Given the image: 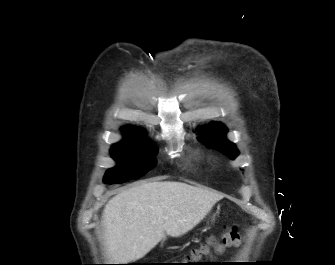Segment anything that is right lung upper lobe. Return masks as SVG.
Here are the masks:
<instances>
[{
  "instance_id": "cb5924a9",
  "label": "right lung upper lobe",
  "mask_w": 335,
  "mask_h": 265,
  "mask_svg": "<svg viewBox=\"0 0 335 265\" xmlns=\"http://www.w3.org/2000/svg\"><path fill=\"white\" fill-rule=\"evenodd\" d=\"M123 131H138V130H136V129H134V128L124 127V128H123Z\"/></svg>"
}]
</instances>
